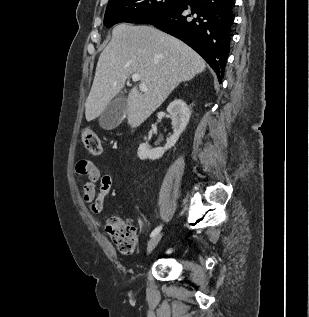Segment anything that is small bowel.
Instances as JSON below:
<instances>
[{"label":"small bowel","mask_w":309,"mask_h":317,"mask_svg":"<svg viewBox=\"0 0 309 317\" xmlns=\"http://www.w3.org/2000/svg\"><path fill=\"white\" fill-rule=\"evenodd\" d=\"M75 174L78 177L86 176L83 185L82 198L90 205L93 213H100L104 208V201L112 187V177L102 175L100 169L90 160L80 159L75 165Z\"/></svg>","instance_id":"obj_1"}]
</instances>
